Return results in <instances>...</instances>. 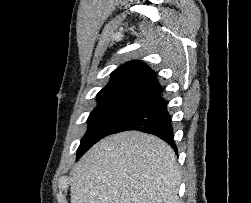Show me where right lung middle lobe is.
<instances>
[{
    "label": "right lung middle lobe",
    "mask_w": 251,
    "mask_h": 203,
    "mask_svg": "<svg viewBox=\"0 0 251 203\" xmlns=\"http://www.w3.org/2000/svg\"><path fill=\"white\" fill-rule=\"evenodd\" d=\"M140 112L142 111L135 107H96L87 120L88 130L77 150V160L98 140L112 134L119 125Z\"/></svg>",
    "instance_id": "dd1d6c3e"
}]
</instances>
